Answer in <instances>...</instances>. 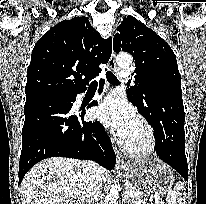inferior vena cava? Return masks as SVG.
<instances>
[{"mask_svg":"<svg viewBox=\"0 0 206 204\" xmlns=\"http://www.w3.org/2000/svg\"><path fill=\"white\" fill-rule=\"evenodd\" d=\"M89 177L87 180L85 204H94L98 199L102 183V167L96 162L89 161L87 163Z\"/></svg>","mask_w":206,"mask_h":204,"instance_id":"602c4592","label":"inferior vena cava"}]
</instances>
